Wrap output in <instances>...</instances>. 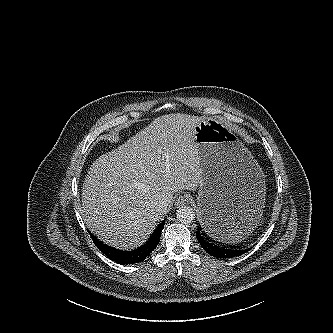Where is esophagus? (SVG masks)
Listing matches in <instances>:
<instances>
[{"instance_id":"obj_1","label":"esophagus","mask_w":333,"mask_h":333,"mask_svg":"<svg viewBox=\"0 0 333 333\" xmlns=\"http://www.w3.org/2000/svg\"><path fill=\"white\" fill-rule=\"evenodd\" d=\"M190 200V196L188 195H180L179 197H177L176 201H175V206L176 207H181L184 206L186 203H188Z\"/></svg>"}]
</instances>
